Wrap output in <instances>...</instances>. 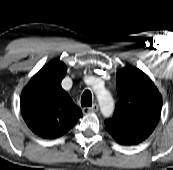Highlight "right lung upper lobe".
Masks as SVG:
<instances>
[{"label":"right lung upper lobe","instance_id":"obj_1","mask_svg":"<svg viewBox=\"0 0 173 170\" xmlns=\"http://www.w3.org/2000/svg\"><path fill=\"white\" fill-rule=\"evenodd\" d=\"M66 75L63 62L47 63L21 94V112L27 126L38 136L54 139L70 130L82 111L61 87Z\"/></svg>","mask_w":173,"mask_h":170}]
</instances>
